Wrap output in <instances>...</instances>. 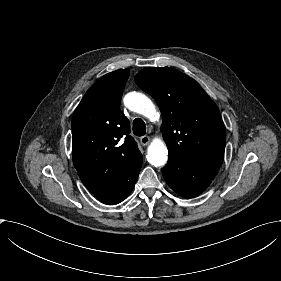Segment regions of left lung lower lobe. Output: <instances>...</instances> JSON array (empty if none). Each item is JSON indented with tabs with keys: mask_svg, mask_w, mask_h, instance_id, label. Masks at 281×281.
Segmentation results:
<instances>
[{
	"mask_svg": "<svg viewBox=\"0 0 281 281\" xmlns=\"http://www.w3.org/2000/svg\"><path fill=\"white\" fill-rule=\"evenodd\" d=\"M221 164L191 163L169 156L162 173L167 184L180 196L193 198L211 183Z\"/></svg>",
	"mask_w": 281,
	"mask_h": 281,
	"instance_id": "1",
	"label": "left lung lower lobe"
}]
</instances>
